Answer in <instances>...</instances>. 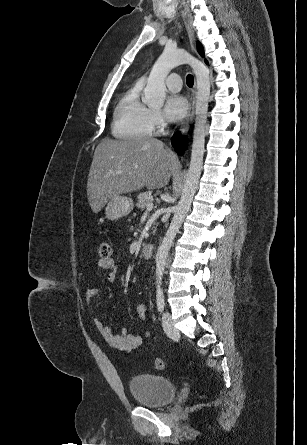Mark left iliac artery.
Listing matches in <instances>:
<instances>
[{
    "mask_svg": "<svg viewBox=\"0 0 307 445\" xmlns=\"http://www.w3.org/2000/svg\"><path fill=\"white\" fill-rule=\"evenodd\" d=\"M156 299H157L158 311L162 312L164 310V307H165V299H164L163 291L161 289L157 290Z\"/></svg>",
    "mask_w": 307,
    "mask_h": 445,
    "instance_id": "obj_1",
    "label": "left iliac artery"
}]
</instances>
